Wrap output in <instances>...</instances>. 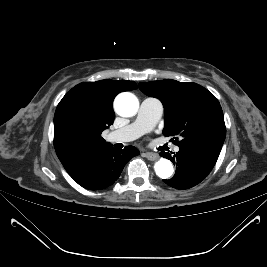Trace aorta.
I'll return each mask as SVG.
<instances>
[{
  "mask_svg": "<svg viewBox=\"0 0 267 267\" xmlns=\"http://www.w3.org/2000/svg\"><path fill=\"white\" fill-rule=\"evenodd\" d=\"M114 107L120 116L131 117L137 113L139 101L134 94L123 92L115 98ZM154 170L156 175L162 179L169 178L174 172L172 163L164 158L155 163Z\"/></svg>",
  "mask_w": 267,
  "mask_h": 267,
  "instance_id": "obj_1",
  "label": "aorta"
}]
</instances>
